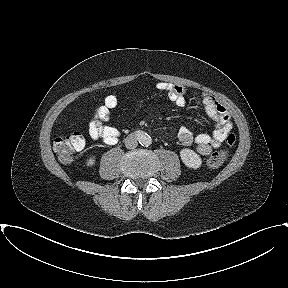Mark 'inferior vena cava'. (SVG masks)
Returning a JSON list of instances; mask_svg holds the SVG:
<instances>
[{
  "mask_svg": "<svg viewBox=\"0 0 288 288\" xmlns=\"http://www.w3.org/2000/svg\"><path fill=\"white\" fill-rule=\"evenodd\" d=\"M124 142L127 149H134L138 146V138L132 134L128 135Z\"/></svg>",
  "mask_w": 288,
  "mask_h": 288,
  "instance_id": "obj_1",
  "label": "inferior vena cava"
}]
</instances>
